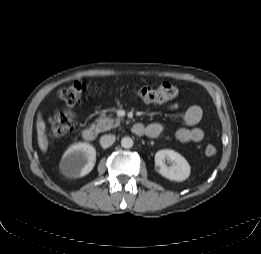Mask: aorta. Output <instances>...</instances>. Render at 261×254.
I'll list each match as a JSON object with an SVG mask.
<instances>
[{"instance_id":"aorta-1","label":"aorta","mask_w":261,"mask_h":254,"mask_svg":"<svg viewBox=\"0 0 261 254\" xmlns=\"http://www.w3.org/2000/svg\"><path fill=\"white\" fill-rule=\"evenodd\" d=\"M121 146L123 148H131L133 146V140L130 137H124L121 140Z\"/></svg>"}]
</instances>
